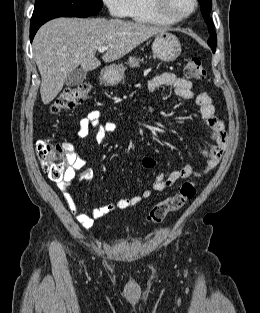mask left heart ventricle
I'll return each instance as SVG.
<instances>
[{
	"label": "left heart ventricle",
	"mask_w": 260,
	"mask_h": 313,
	"mask_svg": "<svg viewBox=\"0 0 260 313\" xmlns=\"http://www.w3.org/2000/svg\"><path fill=\"white\" fill-rule=\"evenodd\" d=\"M165 8L173 16L182 15L191 10L192 0H165Z\"/></svg>",
	"instance_id": "obj_1"
}]
</instances>
